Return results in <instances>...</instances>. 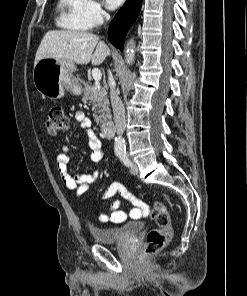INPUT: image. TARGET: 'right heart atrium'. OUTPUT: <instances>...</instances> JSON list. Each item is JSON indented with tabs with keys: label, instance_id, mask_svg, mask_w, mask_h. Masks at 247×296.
<instances>
[{
	"label": "right heart atrium",
	"instance_id": "1",
	"mask_svg": "<svg viewBox=\"0 0 247 296\" xmlns=\"http://www.w3.org/2000/svg\"><path fill=\"white\" fill-rule=\"evenodd\" d=\"M81 16L89 28L99 26L108 16L98 0H83Z\"/></svg>",
	"mask_w": 247,
	"mask_h": 296
}]
</instances>
